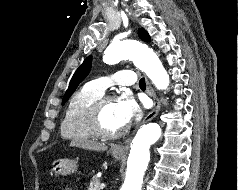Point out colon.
Returning a JSON list of instances; mask_svg holds the SVG:
<instances>
[{
	"label": "colon",
	"instance_id": "obj_1",
	"mask_svg": "<svg viewBox=\"0 0 238 190\" xmlns=\"http://www.w3.org/2000/svg\"><path fill=\"white\" fill-rule=\"evenodd\" d=\"M64 190H72L71 188H65Z\"/></svg>",
	"mask_w": 238,
	"mask_h": 190
}]
</instances>
